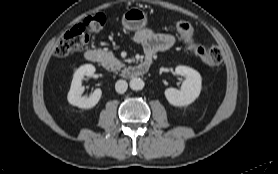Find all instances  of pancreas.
<instances>
[{
	"label": "pancreas",
	"instance_id": "obj_1",
	"mask_svg": "<svg viewBox=\"0 0 278 174\" xmlns=\"http://www.w3.org/2000/svg\"><path fill=\"white\" fill-rule=\"evenodd\" d=\"M100 55L101 63L106 69L117 71L124 67V64H122L117 58H115L113 53L100 50Z\"/></svg>",
	"mask_w": 278,
	"mask_h": 174
}]
</instances>
